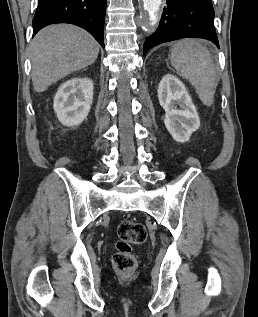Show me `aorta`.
I'll return each mask as SVG.
<instances>
[{"mask_svg": "<svg viewBox=\"0 0 258 317\" xmlns=\"http://www.w3.org/2000/svg\"><path fill=\"white\" fill-rule=\"evenodd\" d=\"M162 0H143L144 10L148 12L149 24L155 25Z\"/></svg>", "mask_w": 258, "mask_h": 317, "instance_id": "762f6f07", "label": "aorta"}]
</instances>
